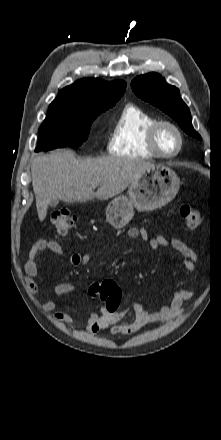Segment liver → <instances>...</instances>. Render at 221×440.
Returning a JSON list of instances; mask_svg holds the SVG:
<instances>
[{"label":"liver","mask_w":221,"mask_h":440,"mask_svg":"<svg viewBox=\"0 0 221 440\" xmlns=\"http://www.w3.org/2000/svg\"><path fill=\"white\" fill-rule=\"evenodd\" d=\"M153 166L144 160L121 157L76 159L71 150L36 157L31 164V174L39 220L46 218L52 200L73 203L95 197L112 198ZM98 185L94 192L93 187Z\"/></svg>","instance_id":"liver-1"}]
</instances>
